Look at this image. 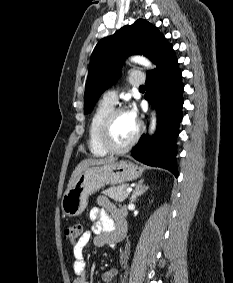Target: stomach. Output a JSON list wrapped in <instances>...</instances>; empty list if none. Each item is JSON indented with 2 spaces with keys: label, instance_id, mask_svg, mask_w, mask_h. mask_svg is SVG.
Returning a JSON list of instances; mask_svg holds the SVG:
<instances>
[{
  "label": "stomach",
  "instance_id": "1",
  "mask_svg": "<svg viewBox=\"0 0 233 283\" xmlns=\"http://www.w3.org/2000/svg\"><path fill=\"white\" fill-rule=\"evenodd\" d=\"M143 171L144 168L126 160L85 168L62 197L63 214L69 217L80 215L85 210L90 195L105 185H119L136 180Z\"/></svg>",
  "mask_w": 233,
  "mask_h": 283
}]
</instances>
